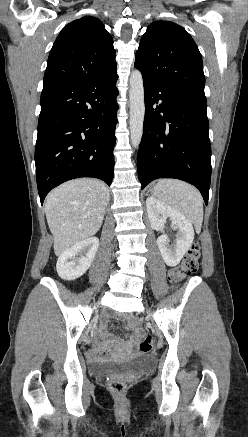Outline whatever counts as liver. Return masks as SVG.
Returning <instances> with one entry per match:
<instances>
[{"label": "liver", "mask_w": 248, "mask_h": 437, "mask_svg": "<svg viewBox=\"0 0 248 437\" xmlns=\"http://www.w3.org/2000/svg\"><path fill=\"white\" fill-rule=\"evenodd\" d=\"M109 200L107 186L91 178L68 181L48 194L45 214L55 255L98 232Z\"/></svg>", "instance_id": "1"}]
</instances>
